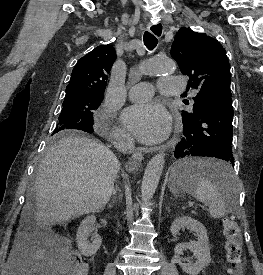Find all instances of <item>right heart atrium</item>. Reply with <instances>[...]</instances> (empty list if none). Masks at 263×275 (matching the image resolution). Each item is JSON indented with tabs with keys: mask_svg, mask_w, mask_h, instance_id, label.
Listing matches in <instances>:
<instances>
[{
	"mask_svg": "<svg viewBox=\"0 0 263 275\" xmlns=\"http://www.w3.org/2000/svg\"><path fill=\"white\" fill-rule=\"evenodd\" d=\"M108 120H109V109L107 107H105V109L101 115V118H100V124H102V125L106 124L108 122ZM114 137L121 142H128V140H129L127 133L121 128L115 129Z\"/></svg>",
	"mask_w": 263,
	"mask_h": 275,
	"instance_id": "obj_1",
	"label": "right heart atrium"
}]
</instances>
